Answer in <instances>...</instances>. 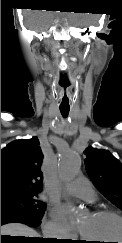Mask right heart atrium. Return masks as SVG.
<instances>
[{"mask_svg": "<svg viewBox=\"0 0 122 243\" xmlns=\"http://www.w3.org/2000/svg\"><path fill=\"white\" fill-rule=\"evenodd\" d=\"M44 230L47 235L57 239L74 237L56 218L47 221Z\"/></svg>", "mask_w": 122, "mask_h": 243, "instance_id": "d8ad5b80", "label": "right heart atrium"}]
</instances>
